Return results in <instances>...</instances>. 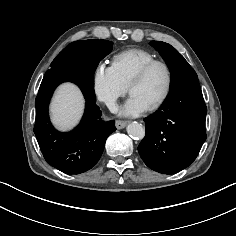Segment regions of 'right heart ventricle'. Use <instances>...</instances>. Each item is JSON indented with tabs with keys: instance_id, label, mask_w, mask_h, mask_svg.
I'll return each instance as SVG.
<instances>
[{
	"instance_id": "obj_1",
	"label": "right heart ventricle",
	"mask_w": 236,
	"mask_h": 236,
	"mask_svg": "<svg viewBox=\"0 0 236 236\" xmlns=\"http://www.w3.org/2000/svg\"><path fill=\"white\" fill-rule=\"evenodd\" d=\"M155 59V55L145 49L131 48L115 54L112 66L120 80L128 87L140 68Z\"/></svg>"
}]
</instances>
